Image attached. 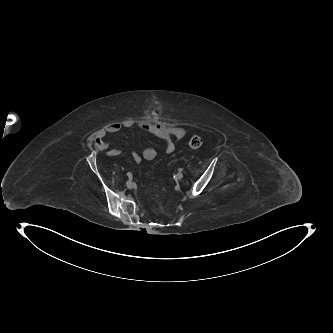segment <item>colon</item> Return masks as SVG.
Here are the masks:
<instances>
[{
	"label": "colon",
	"instance_id": "obj_1",
	"mask_svg": "<svg viewBox=\"0 0 333 333\" xmlns=\"http://www.w3.org/2000/svg\"><path fill=\"white\" fill-rule=\"evenodd\" d=\"M202 145V139L198 135H193L189 140V146L193 149H198Z\"/></svg>",
	"mask_w": 333,
	"mask_h": 333
}]
</instances>
